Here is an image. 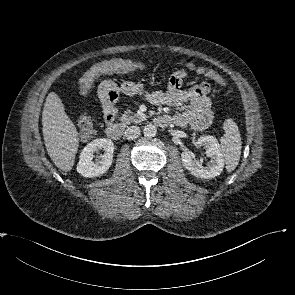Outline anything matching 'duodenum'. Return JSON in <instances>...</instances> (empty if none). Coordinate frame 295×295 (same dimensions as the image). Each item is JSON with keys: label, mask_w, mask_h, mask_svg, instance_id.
<instances>
[{"label": "duodenum", "mask_w": 295, "mask_h": 295, "mask_svg": "<svg viewBox=\"0 0 295 295\" xmlns=\"http://www.w3.org/2000/svg\"><path fill=\"white\" fill-rule=\"evenodd\" d=\"M155 122L159 126H166L170 123V118L168 116H158L155 119ZM124 125L121 123H111L106 128L107 136L112 140H120L123 132H124Z\"/></svg>", "instance_id": "obj_1"}]
</instances>
